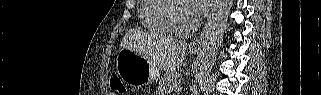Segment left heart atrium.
<instances>
[{"label":"left heart atrium","mask_w":321,"mask_h":95,"mask_svg":"<svg viewBox=\"0 0 321 95\" xmlns=\"http://www.w3.org/2000/svg\"><path fill=\"white\" fill-rule=\"evenodd\" d=\"M192 5L189 7L191 14L196 17L205 12L209 4L211 3L210 0H191Z\"/></svg>","instance_id":"obj_1"}]
</instances>
